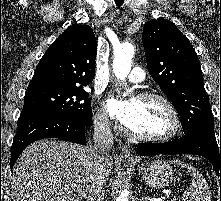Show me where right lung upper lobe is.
Listing matches in <instances>:
<instances>
[{"mask_svg":"<svg viewBox=\"0 0 221 201\" xmlns=\"http://www.w3.org/2000/svg\"><path fill=\"white\" fill-rule=\"evenodd\" d=\"M96 52L92 28L88 25L70 26L43 55L28 88H83L94 78Z\"/></svg>","mask_w":221,"mask_h":201,"instance_id":"1","label":"right lung upper lobe"}]
</instances>
